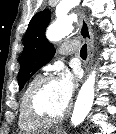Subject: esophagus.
<instances>
[{"mask_svg":"<svg viewBox=\"0 0 116 134\" xmlns=\"http://www.w3.org/2000/svg\"><path fill=\"white\" fill-rule=\"evenodd\" d=\"M78 16H79V34L82 38L86 40L88 46V56L84 64L85 73H87L89 65L93 58V51H94L93 33L91 31L89 24L86 21L85 15L82 12H79Z\"/></svg>","mask_w":116,"mask_h":134,"instance_id":"1","label":"esophagus"}]
</instances>
